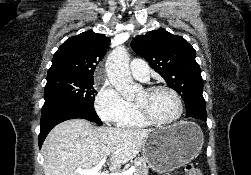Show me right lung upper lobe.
Returning a JSON list of instances; mask_svg holds the SVG:
<instances>
[{
	"mask_svg": "<svg viewBox=\"0 0 251 175\" xmlns=\"http://www.w3.org/2000/svg\"><path fill=\"white\" fill-rule=\"evenodd\" d=\"M110 39L91 30L68 38L56 51L47 78L94 80L96 65L104 57Z\"/></svg>",
	"mask_w": 251,
	"mask_h": 175,
	"instance_id": "cb5924a9",
	"label": "right lung upper lobe"
}]
</instances>
